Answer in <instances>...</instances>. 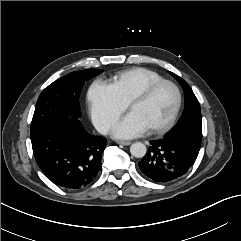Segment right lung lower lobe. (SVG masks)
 I'll list each match as a JSON object with an SVG mask.
<instances>
[{
  "label": "right lung lower lobe",
  "mask_w": 241,
  "mask_h": 241,
  "mask_svg": "<svg viewBox=\"0 0 241 241\" xmlns=\"http://www.w3.org/2000/svg\"><path fill=\"white\" fill-rule=\"evenodd\" d=\"M33 154L42 172L66 189L90 184L101 168L106 139L88 134L74 119L55 122L31 137Z\"/></svg>",
  "instance_id": "obj_1"
}]
</instances>
